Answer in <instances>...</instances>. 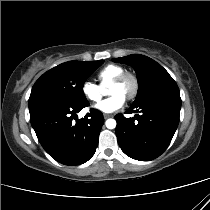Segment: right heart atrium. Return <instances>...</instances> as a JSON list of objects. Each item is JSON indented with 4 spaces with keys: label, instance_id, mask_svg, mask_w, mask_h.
Listing matches in <instances>:
<instances>
[{
    "label": "right heart atrium",
    "instance_id": "d8ad5b80",
    "mask_svg": "<svg viewBox=\"0 0 210 210\" xmlns=\"http://www.w3.org/2000/svg\"><path fill=\"white\" fill-rule=\"evenodd\" d=\"M81 93L88 102L96 103L102 97V88L92 81L85 80L81 85Z\"/></svg>",
    "mask_w": 210,
    "mask_h": 210
}]
</instances>
